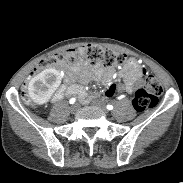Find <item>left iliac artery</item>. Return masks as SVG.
<instances>
[{
  "label": "left iliac artery",
  "instance_id": "1",
  "mask_svg": "<svg viewBox=\"0 0 183 183\" xmlns=\"http://www.w3.org/2000/svg\"><path fill=\"white\" fill-rule=\"evenodd\" d=\"M106 108H107L108 110H112V109H113V106L110 105V104H108V105L106 106Z\"/></svg>",
  "mask_w": 183,
  "mask_h": 183
}]
</instances>
